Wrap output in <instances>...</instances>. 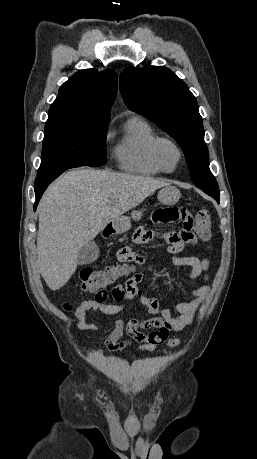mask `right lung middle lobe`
<instances>
[{"mask_svg":"<svg viewBox=\"0 0 257 459\" xmlns=\"http://www.w3.org/2000/svg\"><path fill=\"white\" fill-rule=\"evenodd\" d=\"M108 124L49 116L45 124L39 172L59 167L100 166L107 162Z\"/></svg>","mask_w":257,"mask_h":459,"instance_id":"obj_1","label":"right lung middle lobe"}]
</instances>
